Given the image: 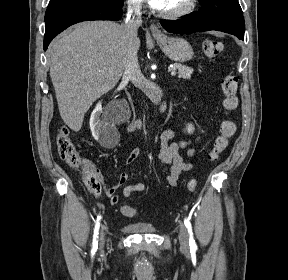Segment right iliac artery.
Masks as SVG:
<instances>
[{
    "mask_svg": "<svg viewBox=\"0 0 288 280\" xmlns=\"http://www.w3.org/2000/svg\"><path fill=\"white\" fill-rule=\"evenodd\" d=\"M100 220H101V216L99 215L96 220L94 234H93V242H92V250H91V253L93 255L95 254L98 248V234H99Z\"/></svg>",
    "mask_w": 288,
    "mask_h": 280,
    "instance_id": "obj_1",
    "label": "right iliac artery"
}]
</instances>
